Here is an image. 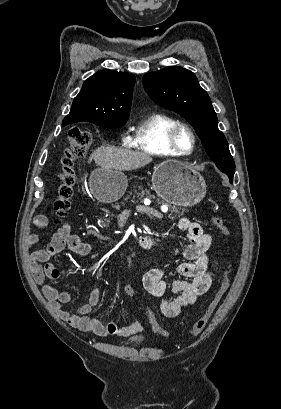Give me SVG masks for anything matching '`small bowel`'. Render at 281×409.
<instances>
[{"label":"small bowel","instance_id":"small-bowel-1","mask_svg":"<svg viewBox=\"0 0 281 409\" xmlns=\"http://www.w3.org/2000/svg\"><path fill=\"white\" fill-rule=\"evenodd\" d=\"M48 220L47 215H37L33 223L35 226H27L26 232L29 235L26 240L27 247L30 248L38 243V235L48 234L49 229L46 225ZM178 228L186 234L187 244L183 248L174 247L166 251L160 247L158 242L151 239V248L158 250L164 259H173L177 256L185 258V261L175 267V272L183 277L171 285V290L175 296L167 297L161 304V310L168 318L178 316L183 308L194 304L198 296L206 293L218 268L217 261L207 255L212 243L211 235L206 233L199 223L193 222L187 217L179 220ZM65 249L81 256H87L92 248L80 236L72 234L69 225L65 223L53 234L51 241L45 248L31 253L35 281L42 285L44 295L52 303L58 316L80 331L92 332L101 337H128L142 332L145 327L142 321H135L120 327L114 322L104 325L98 319L90 316L100 299L98 287L91 291L87 303L79 306L76 313H71L63 308L64 305L71 302L72 294L68 291H59L46 284L45 281L46 279L56 280L60 277V270L49 261L51 257ZM164 273L161 268H151L143 275V288L150 295L154 297L165 295L167 284L163 279ZM123 292L127 296H133L135 289L131 285H126ZM146 317L149 323L156 319L150 309H146Z\"/></svg>","mask_w":281,"mask_h":409}]
</instances>
